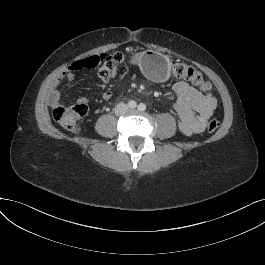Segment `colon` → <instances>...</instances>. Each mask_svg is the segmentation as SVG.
<instances>
[{
  "mask_svg": "<svg viewBox=\"0 0 265 265\" xmlns=\"http://www.w3.org/2000/svg\"><path fill=\"white\" fill-rule=\"evenodd\" d=\"M124 61V55L115 52L110 55L96 54L84 59L75 61L70 67L69 72H75L82 69H91L99 67V77L103 81H109L114 78ZM172 74L177 78L188 80L196 85L203 92L210 90V84L204 80L201 73L194 67L179 63L174 65ZM87 114V106L85 104H74L71 106H56L53 110L55 120L67 130L77 133L80 130V120ZM220 124L215 118H211L207 122V130L213 132L219 128Z\"/></svg>",
  "mask_w": 265,
  "mask_h": 265,
  "instance_id": "1",
  "label": "colon"
}]
</instances>
